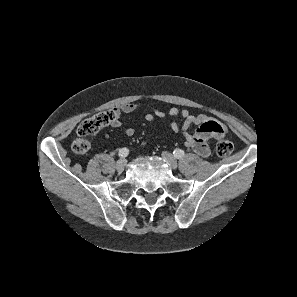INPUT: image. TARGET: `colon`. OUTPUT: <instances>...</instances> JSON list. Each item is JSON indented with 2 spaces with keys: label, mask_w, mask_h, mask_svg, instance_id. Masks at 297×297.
I'll return each instance as SVG.
<instances>
[{
  "label": "colon",
  "mask_w": 297,
  "mask_h": 297,
  "mask_svg": "<svg viewBox=\"0 0 297 297\" xmlns=\"http://www.w3.org/2000/svg\"><path fill=\"white\" fill-rule=\"evenodd\" d=\"M116 118V111L109 110L97 113L82 121L77 127V138L72 143V151L77 155L86 154L90 149L88 137L95 135L101 128L112 124ZM232 150L233 145L226 138H221L216 144V152L219 156L226 157L231 154Z\"/></svg>",
  "instance_id": "obj_1"
}]
</instances>
